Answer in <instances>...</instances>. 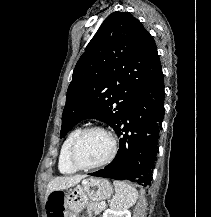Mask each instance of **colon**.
I'll list each match as a JSON object with an SVG mask.
<instances>
[{
    "mask_svg": "<svg viewBox=\"0 0 211 217\" xmlns=\"http://www.w3.org/2000/svg\"><path fill=\"white\" fill-rule=\"evenodd\" d=\"M63 197L59 192H54L50 195L48 201L49 217H63Z\"/></svg>",
    "mask_w": 211,
    "mask_h": 217,
    "instance_id": "obj_1",
    "label": "colon"
}]
</instances>
